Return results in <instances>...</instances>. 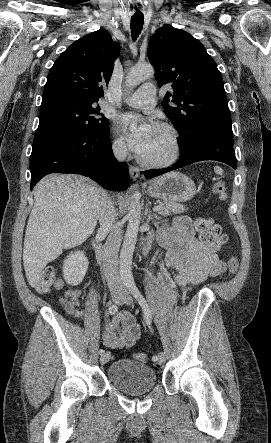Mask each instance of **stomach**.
Wrapping results in <instances>:
<instances>
[{
  "mask_svg": "<svg viewBox=\"0 0 271 443\" xmlns=\"http://www.w3.org/2000/svg\"><path fill=\"white\" fill-rule=\"evenodd\" d=\"M147 194L152 198H161L167 202H188L196 194L194 182L179 174V172H171L165 174L158 180H154L147 188Z\"/></svg>",
  "mask_w": 271,
  "mask_h": 443,
  "instance_id": "0dacf381",
  "label": "stomach"
}]
</instances>
